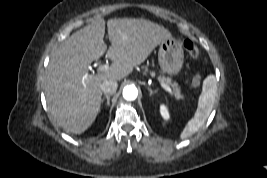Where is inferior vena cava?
<instances>
[{"mask_svg":"<svg viewBox=\"0 0 267 178\" xmlns=\"http://www.w3.org/2000/svg\"><path fill=\"white\" fill-rule=\"evenodd\" d=\"M118 83L115 79H108L101 85V90L107 94H114L117 90Z\"/></svg>","mask_w":267,"mask_h":178,"instance_id":"602c4592","label":"inferior vena cava"}]
</instances>
